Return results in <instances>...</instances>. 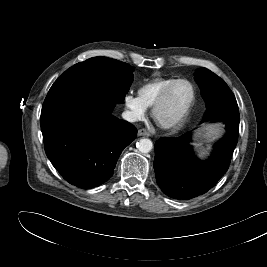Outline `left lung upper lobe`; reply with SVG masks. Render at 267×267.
<instances>
[{
    "label": "left lung upper lobe",
    "mask_w": 267,
    "mask_h": 267,
    "mask_svg": "<svg viewBox=\"0 0 267 267\" xmlns=\"http://www.w3.org/2000/svg\"><path fill=\"white\" fill-rule=\"evenodd\" d=\"M207 110L204 119L219 112L238 111V105L230 88L216 74L206 68H200L195 73Z\"/></svg>",
    "instance_id": "left-lung-upper-lobe-1"
}]
</instances>
